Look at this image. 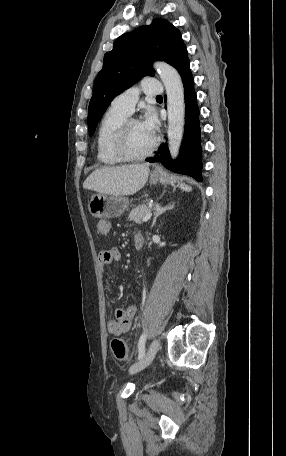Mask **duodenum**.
Returning a JSON list of instances; mask_svg holds the SVG:
<instances>
[{
  "instance_id": "obj_1",
  "label": "duodenum",
  "mask_w": 286,
  "mask_h": 456,
  "mask_svg": "<svg viewBox=\"0 0 286 456\" xmlns=\"http://www.w3.org/2000/svg\"><path fill=\"white\" fill-rule=\"evenodd\" d=\"M144 243V237L142 235H136L134 238L135 249L140 250Z\"/></svg>"
}]
</instances>
